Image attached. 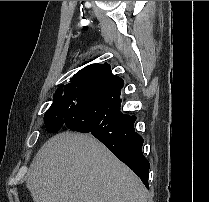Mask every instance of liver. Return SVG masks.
I'll use <instances>...</instances> for the list:
<instances>
[{
    "label": "liver",
    "instance_id": "1",
    "mask_svg": "<svg viewBox=\"0 0 209 202\" xmlns=\"http://www.w3.org/2000/svg\"><path fill=\"white\" fill-rule=\"evenodd\" d=\"M26 186L34 202H147L140 179L102 143L69 131L44 143Z\"/></svg>",
    "mask_w": 209,
    "mask_h": 202
}]
</instances>
